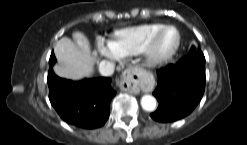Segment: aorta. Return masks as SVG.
Masks as SVG:
<instances>
[{"instance_id":"obj_1","label":"aorta","mask_w":247,"mask_h":145,"mask_svg":"<svg viewBox=\"0 0 247 145\" xmlns=\"http://www.w3.org/2000/svg\"><path fill=\"white\" fill-rule=\"evenodd\" d=\"M141 106L145 111L152 112L156 109V99L151 95H144L141 98Z\"/></svg>"}]
</instances>
